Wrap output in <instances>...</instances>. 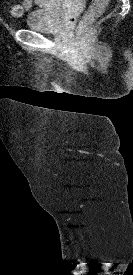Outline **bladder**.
<instances>
[{
  "instance_id": "1",
  "label": "bladder",
  "mask_w": 133,
  "mask_h": 275,
  "mask_svg": "<svg viewBox=\"0 0 133 275\" xmlns=\"http://www.w3.org/2000/svg\"><path fill=\"white\" fill-rule=\"evenodd\" d=\"M63 1L52 0V4L31 11L25 19V27L41 32H58L64 20Z\"/></svg>"
}]
</instances>
